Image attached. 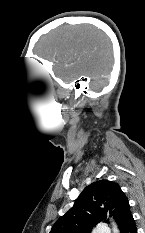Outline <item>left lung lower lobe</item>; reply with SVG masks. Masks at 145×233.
I'll list each match as a JSON object with an SVG mask.
<instances>
[{
	"label": "left lung lower lobe",
	"instance_id": "obj_1",
	"mask_svg": "<svg viewBox=\"0 0 145 233\" xmlns=\"http://www.w3.org/2000/svg\"><path fill=\"white\" fill-rule=\"evenodd\" d=\"M123 233H137V228L134 219L126 227Z\"/></svg>",
	"mask_w": 145,
	"mask_h": 233
}]
</instances>
